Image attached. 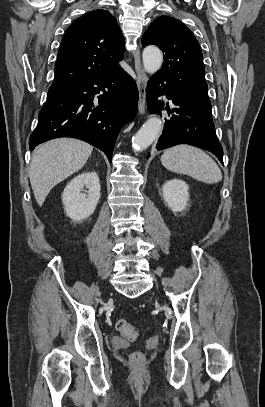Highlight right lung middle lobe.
I'll use <instances>...</instances> for the list:
<instances>
[{
  "instance_id": "right-lung-middle-lobe-1",
  "label": "right lung middle lobe",
  "mask_w": 265,
  "mask_h": 407,
  "mask_svg": "<svg viewBox=\"0 0 265 407\" xmlns=\"http://www.w3.org/2000/svg\"><path fill=\"white\" fill-rule=\"evenodd\" d=\"M71 86H51L48 90L47 98L65 93Z\"/></svg>"
}]
</instances>
